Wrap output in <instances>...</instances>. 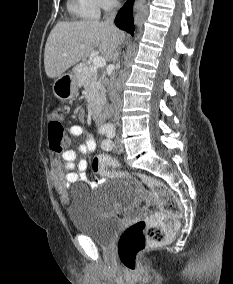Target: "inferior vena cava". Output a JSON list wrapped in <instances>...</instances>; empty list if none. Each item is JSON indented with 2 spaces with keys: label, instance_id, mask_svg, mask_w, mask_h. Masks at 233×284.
Segmentation results:
<instances>
[{
  "label": "inferior vena cava",
  "instance_id": "602c4592",
  "mask_svg": "<svg viewBox=\"0 0 233 284\" xmlns=\"http://www.w3.org/2000/svg\"><path fill=\"white\" fill-rule=\"evenodd\" d=\"M113 7L116 9L118 7V2L115 0L113 3ZM116 15V11H113L111 13V16L106 20V23L108 24H113L114 18ZM119 55V53L116 51L115 55H114V60H116L117 56Z\"/></svg>",
  "mask_w": 233,
  "mask_h": 284
}]
</instances>
